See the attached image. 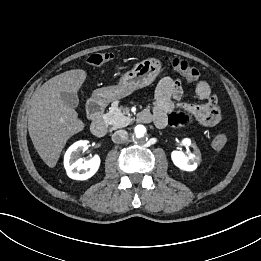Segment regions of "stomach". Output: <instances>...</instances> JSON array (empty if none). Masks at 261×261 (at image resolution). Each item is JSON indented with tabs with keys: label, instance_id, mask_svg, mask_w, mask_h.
I'll use <instances>...</instances> for the list:
<instances>
[{
	"label": "stomach",
	"instance_id": "0dacf381",
	"mask_svg": "<svg viewBox=\"0 0 261 261\" xmlns=\"http://www.w3.org/2000/svg\"><path fill=\"white\" fill-rule=\"evenodd\" d=\"M160 70L161 62L158 59H145L124 73L117 85L95 90L92 98L101 103H108L124 98L134 91L150 85L156 79Z\"/></svg>",
	"mask_w": 261,
	"mask_h": 261
}]
</instances>
